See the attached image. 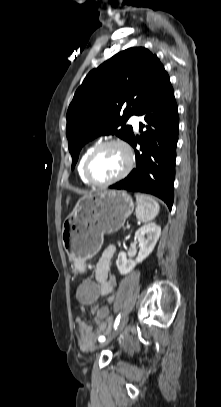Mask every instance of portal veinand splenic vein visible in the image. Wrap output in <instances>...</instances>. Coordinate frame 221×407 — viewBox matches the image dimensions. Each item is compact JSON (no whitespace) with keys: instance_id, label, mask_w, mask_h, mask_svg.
Instances as JSON below:
<instances>
[{"instance_id":"obj_1","label":"portal vein and splenic vein","mask_w":221,"mask_h":407,"mask_svg":"<svg viewBox=\"0 0 221 407\" xmlns=\"http://www.w3.org/2000/svg\"><path fill=\"white\" fill-rule=\"evenodd\" d=\"M127 228H130V226H129V225H127Z\"/></svg>"}]
</instances>
